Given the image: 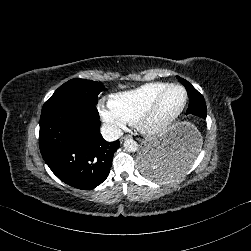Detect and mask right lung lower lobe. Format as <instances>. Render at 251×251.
I'll list each match as a JSON object with an SVG mask.
<instances>
[{
    "label": "right lung lower lobe",
    "mask_w": 251,
    "mask_h": 251,
    "mask_svg": "<svg viewBox=\"0 0 251 251\" xmlns=\"http://www.w3.org/2000/svg\"><path fill=\"white\" fill-rule=\"evenodd\" d=\"M100 124L95 105L74 100L44 104L40 151L51 171L64 183L89 190L107 178L120 143L104 140Z\"/></svg>",
    "instance_id": "1"
}]
</instances>
